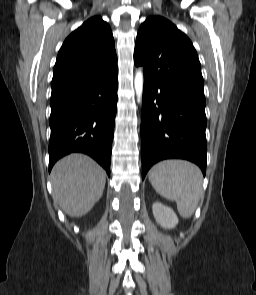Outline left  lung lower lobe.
Listing matches in <instances>:
<instances>
[{"label":"left lung lower lobe","instance_id":"1","mask_svg":"<svg viewBox=\"0 0 256 295\" xmlns=\"http://www.w3.org/2000/svg\"><path fill=\"white\" fill-rule=\"evenodd\" d=\"M205 101L160 86L144 74L141 117L142 179L164 159L196 163L206 173Z\"/></svg>","mask_w":256,"mask_h":295}]
</instances>
